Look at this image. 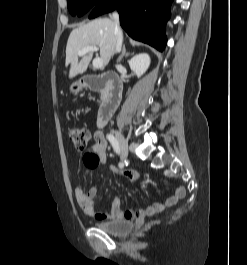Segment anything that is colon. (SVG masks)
<instances>
[{"label":"colon","instance_id":"colon-1","mask_svg":"<svg viewBox=\"0 0 247 265\" xmlns=\"http://www.w3.org/2000/svg\"><path fill=\"white\" fill-rule=\"evenodd\" d=\"M68 136L77 149L83 150L90 140L91 133L85 127H71L68 130Z\"/></svg>","mask_w":247,"mask_h":265}]
</instances>
